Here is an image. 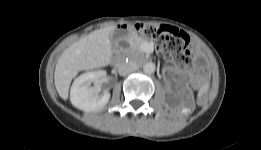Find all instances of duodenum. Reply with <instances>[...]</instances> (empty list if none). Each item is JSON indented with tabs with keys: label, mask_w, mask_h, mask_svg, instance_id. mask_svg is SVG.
I'll return each instance as SVG.
<instances>
[{
	"label": "duodenum",
	"mask_w": 261,
	"mask_h": 150,
	"mask_svg": "<svg viewBox=\"0 0 261 150\" xmlns=\"http://www.w3.org/2000/svg\"><path fill=\"white\" fill-rule=\"evenodd\" d=\"M121 58H122L121 56H116V57H115V61H120Z\"/></svg>",
	"instance_id": "obj_1"
}]
</instances>
